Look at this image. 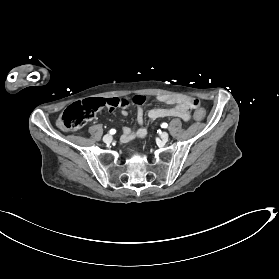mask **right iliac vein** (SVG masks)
I'll return each instance as SVG.
<instances>
[{"instance_id":"63e3f726","label":"right iliac vein","mask_w":279,"mask_h":279,"mask_svg":"<svg viewBox=\"0 0 279 279\" xmlns=\"http://www.w3.org/2000/svg\"><path fill=\"white\" fill-rule=\"evenodd\" d=\"M112 141V136L107 134L103 137V142L110 143Z\"/></svg>"}]
</instances>
